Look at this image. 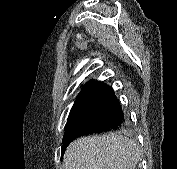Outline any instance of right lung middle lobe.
Masks as SVG:
<instances>
[{"instance_id":"dd1d6c3e","label":"right lung middle lobe","mask_w":177,"mask_h":169,"mask_svg":"<svg viewBox=\"0 0 177 169\" xmlns=\"http://www.w3.org/2000/svg\"><path fill=\"white\" fill-rule=\"evenodd\" d=\"M88 102H89V97L87 96V93L86 92L81 93L76 99L70 111L68 120L77 116L83 110V108H85Z\"/></svg>"}]
</instances>
